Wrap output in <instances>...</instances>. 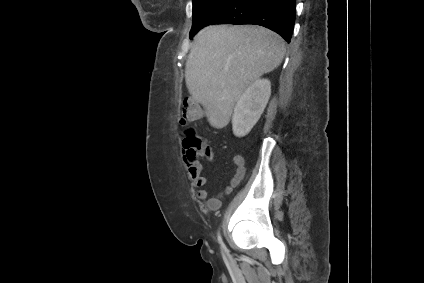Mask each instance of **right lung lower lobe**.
<instances>
[{
	"instance_id": "obj_1",
	"label": "right lung lower lobe",
	"mask_w": 424,
	"mask_h": 283,
	"mask_svg": "<svg viewBox=\"0 0 424 283\" xmlns=\"http://www.w3.org/2000/svg\"><path fill=\"white\" fill-rule=\"evenodd\" d=\"M295 3L296 0H228L204 27L210 24H255L277 32L290 42ZM195 34H191L190 38Z\"/></svg>"
}]
</instances>
